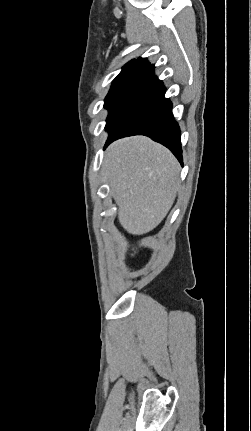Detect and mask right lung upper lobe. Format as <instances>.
Here are the masks:
<instances>
[{"label": "right lung upper lobe", "mask_w": 251, "mask_h": 431, "mask_svg": "<svg viewBox=\"0 0 251 431\" xmlns=\"http://www.w3.org/2000/svg\"><path fill=\"white\" fill-rule=\"evenodd\" d=\"M150 66V63L146 59L138 58L137 60H131L129 63H127L123 69L125 68H134V67H140V68H147Z\"/></svg>", "instance_id": "right-lung-upper-lobe-1"}]
</instances>
